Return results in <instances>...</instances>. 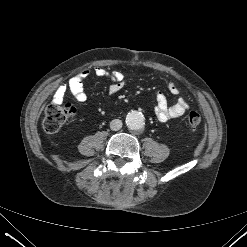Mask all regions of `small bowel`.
Segmentation results:
<instances>
[{
    "mask_svg": "<svg viewBox=\"0 0 247 247\" xmlns=\"http://www.w3.org/2000/svg\"><path fill=\"white\" fill-rule=\"evenodd\" d=\"M93 72L96 76L102 78H108L111 81L109 86V93L116 94L120 92L125 85L124 75L122 72L114 70L107 71L103 67H95ZM90 74V70H83L77 75L73 76L67 84L59 85L53 93V102L61 104L64 100L66 92H69L78 102H85L87 95L84 90L83 82ZM168 89L172 94H178L179 89L174 83H169ZM188 109V105L183 98H179L174 104L169 105L166 96L162 92H158L156 95L155 113L160 122H166L173 118L182 116Z\"/></svg>",
    "mask_w": 247,
    "mask_h": 247,
    "instance_id": "c3829d8e",
    "label": "small bowel"
}]
</instances>
